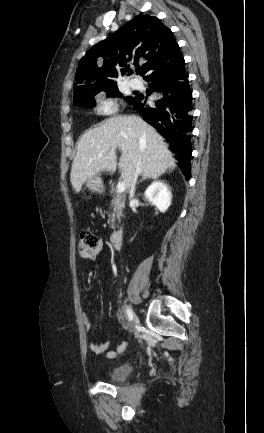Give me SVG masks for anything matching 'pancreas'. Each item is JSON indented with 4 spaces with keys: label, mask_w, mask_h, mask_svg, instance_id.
I'll return each mask as SVG.
<instances>
[{
    "label": "pancreas",
    "mask_w": 264,
    "mask_h": 433,
    "mask_svg": "<svg viewBox=\"0 0 264 433\" xmlns=\"http://www.w3.org/2000/svg\"><path fill=\"white\" fill-rule=\"evenodd\" d=\"M124 207L125 196L117 192L111 200V208L113 211L111 213L110 225L112 228H114L115 218L120 219V217L122 216V211Z\"/></svg>",
    "instance_id": "1"
}]
</instances>
